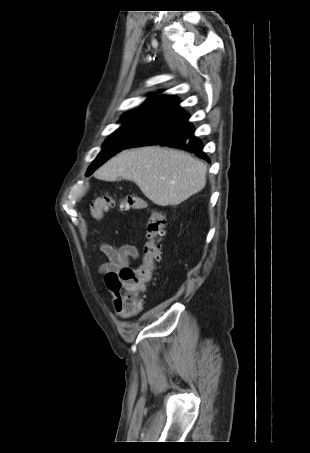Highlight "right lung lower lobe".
I'll return each instance as SVG.
<instances>
[{"mask_svg":"<svg viewBox=\"0 0 310 453\" xmlns=\"http://www.w3.org/2000/svg\"><path fill=\"white\" fill-rule=\"evenodd\" d=\"M188 119L189 115L176 104L157 118L124 149L146 145H165L193 152L209 161L202 151L203 145L194 135V128Z\"/></svg>","mask_w":310,"mask_h":453,"instance_id":"obj_1","label":"right lung lower lobe"}]
</instances>
